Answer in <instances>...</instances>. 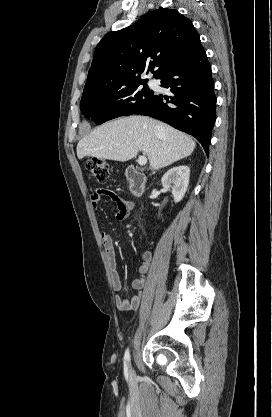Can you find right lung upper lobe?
I'll use <instances>...</instances> for the list:
<instances>
[{
	"instance_id": "1",
	"label": "right lung upper lobe",
	"mask_w": 272,
	"mask_h": 417,
	"mask_svg": "<svg viewBox=\"0 0 272 417\" xmlns=\"http://www.w3.org/2000/svg\"><path fill=\"white\" fill-rule=\"evenodd\" d=\"M193 24L177 10L159 9L136 24L108 33L98 43L83 94L110 93L158 78L200 44Z\"/></svg>"
}]
</instances>
